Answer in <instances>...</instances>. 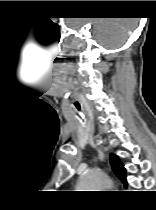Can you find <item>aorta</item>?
Returning a JSON list of instances; mask_svg holds the SVG:
<instances>
[{"instance_id":"obj_1","label":"aorta","mask_w":156,"mask_h":210,"mask_svg":"<svg viewBox=\"0 0 156 210\" xmlns=\"http://www.w3.org/2000/svg\"><path fill=\"white\" fill-rule=\"evenodd\" d=\"M111 185V180L106 174L92 170L85 171L78 181L80 191H100L111 187Z\"/></svg>"}]
</instances>
